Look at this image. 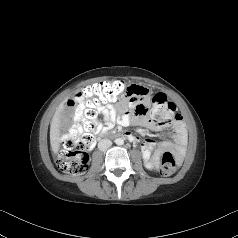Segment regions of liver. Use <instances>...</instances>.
Returning <instances> with one entry per match:
<instances>
[{
  "label": "liver",
  "instance_id": "liver-1",
  "mask_svg": "<svg viewBox=\"0 0 238 238\" xmlns=\"http://www.w3.org/2000/svg\"><path fill=\"white\" fill-rule=\"evenodd\" d=\"M68 98H66L57 108L54 117L51 122L50 127V143L52 151L56 154L59 151L60 147V118L62 112L64 110L65 102Z\"/></svg>",
  "mask_w": 238,
  "mask_h": 238
}]
</instances>
